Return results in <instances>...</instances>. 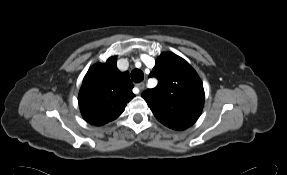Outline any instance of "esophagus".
Returning <instances> with one entry per match:
<instances>
[{"mask_svg":"<svg viewBox=\"0 0 287 175\" xmlns=\"http://www.w3.org/2000/svg\"><path fill=\"white\" fill-rule=\"evenodd\" d=\"M136 87H137L139 90H143V89L145 88V84H144V82H141V83L136 84Z\"/></svg>","mask_w":287,"mask_h":175,"instance_id":"esophagus-1","label":"esophagus"}]
</instances>
